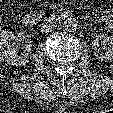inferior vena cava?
Masks as SVG:
<instances>
[{"instance_id": "1", "label": "inferior vena cava", "mask_w": 113, "mask_h": 113, "mask_svg": "<svg viewBox=\"0 0 113 113\" xmlns=\"http://www.w3.org/2000/svg\"><path fill=\"white\" fill-rule=\"evenodd\" d=\"M57 27L56 23L51 21V20H47L46 22H44L43 24H41V31L42 32H52L53 30H55V28Z\"/></svg>"}]
</instances>
